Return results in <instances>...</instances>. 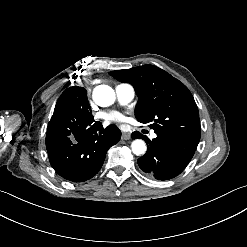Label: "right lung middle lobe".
<instances>
[{
	"instance_id": "dd1d6c3e",
	"label": "right lung middle lobe",
	"mask_w": 247,
	"mask_h": 247,
	"mask_svg": "<svg viewBox=\"0 0 247 247\" xmlns=\"http://www.w3.org/2000/svg\"><path fill=\"white\" fill-rule=\"evenodd\" d=\"M72 111L78 115L91 114V108L87 99V91L83 87H69L60 96L54 109V114L48 124L47 134L61 136L62 129L66 127L67 119L61 114Z\"/></svg>"
}]
</instances>
